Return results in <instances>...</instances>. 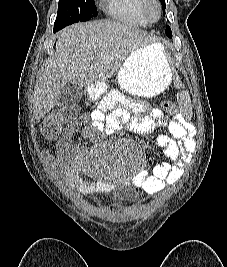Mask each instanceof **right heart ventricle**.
Instances as JSON below:
<instances>
[{"instance_id":"1","label":"right heart ventricle","mask_w":227,"mask_h":267,"mask_svg":"<svg viewBox=\"0 0 227 267\" xmlns=\"http://www.w3.org/2000/svg\"><path fill=\"white\" fill-rule=\"evenodd\" d=\"M146 0H104L106 13L113 19L139 26H146L150 21L144 12Z\"/></svg>"}]
</instances>
